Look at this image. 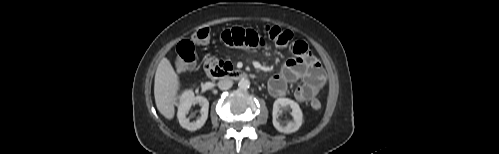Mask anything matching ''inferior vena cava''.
<instances>
[{
	"label": "inferior vena cava",
	"mask_w": 499,
	"mask_h": 154,
	"mask_svg": "<svg viewBox=\"0 0 499 154\" xmlns=\"http://www.w3.org/2000/svg\"><path fill=\"white\" fill-rule=\"evenodd\" d=\"M232 85H233V82L228 78H224L218 82V87L221 90H227V89L231 88Z\"/></svg>",
	"instance_id": "inferior-vena-cava-1"
}]
</instances>
